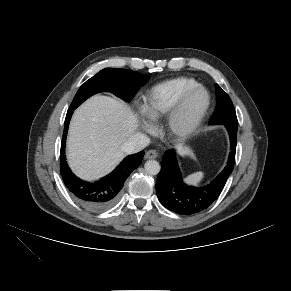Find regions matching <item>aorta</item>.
I'll use <instances>...</instances> for the list:
<instances>
[{
  "mask_svg": "<svg viewBox=\"0 0 291 291\" xmlns=\"http://www.w3.org/2000/svg\"><path fill=\"white\" fill-rule=\"evenodd\" d=\"M145 171L150 175H157L160 172V164L156 160H149L144 165Z\"/></svg>",
  "mask_w": 291,
  "mask_h": 291,
  "instance_id": "1",
  "label": "aorta"
}]
</instances>
